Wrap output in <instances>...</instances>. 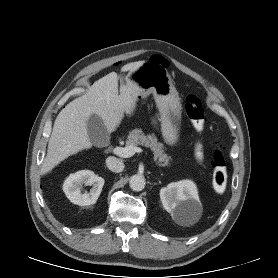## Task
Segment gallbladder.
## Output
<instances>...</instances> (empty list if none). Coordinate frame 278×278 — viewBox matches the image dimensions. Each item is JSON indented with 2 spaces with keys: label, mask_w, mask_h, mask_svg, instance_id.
I'll use <instances>...</instances> for the list:
<instances>
[{
  "label": "gallbladder",
  "mask_w": 278,
  "mask_h": 278,
  "mask_svg": "<svg viewBox=\"0 0 278 278\" xmlns=\"http://www.w3.org/2000/svg\"><path fill=\"white\" fill-rule=\"evenodd\" d=\"M87 131L90 141L97 147L107 146L110 142V133L103 120L96 114H91L87 122Z\"/></svg>",
  "instance_id": "gallbladder-1"
}]
</instances>
